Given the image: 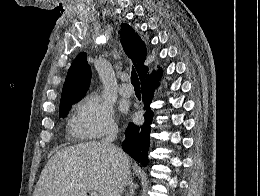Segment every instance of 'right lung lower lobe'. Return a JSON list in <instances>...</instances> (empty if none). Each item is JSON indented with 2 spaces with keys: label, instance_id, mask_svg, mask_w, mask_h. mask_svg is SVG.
Wrapping results in <instances>:
<instances>
[{
  "label": "right lung lower lobe",
  "instance_id": "1",
  "mask_svg": "<svg viewBox=\"0 0 260 196\" xmlns=\"http://www.w3.org/2000/svg\"><path fill=\"white\" fill-rule=\"evenodd\" d=\"M159 80L160 76L158 75L141 82L144 109L146 110L144 114L145 122L140 126L130 123L125 131V140L122 143L123 150L137 162H140L142 166L148 165L147 152L150 145V124L153 119L149 103H151L153 98L152 90L158 86Z\"/></svg>",
  "mask_w": 260,
  "mask_h": 196
}]
</instances>
